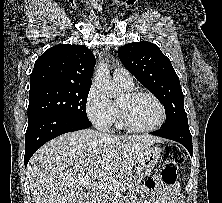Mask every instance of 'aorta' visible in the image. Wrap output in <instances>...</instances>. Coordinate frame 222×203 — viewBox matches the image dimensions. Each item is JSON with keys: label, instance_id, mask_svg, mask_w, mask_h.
I'll list each match as a JSON object with an SVG mask.
<instances>
[{"label": "aorta", "instance_id": "aorta-1", "mask_svg": "<svg viewBox=\"0 0 222 203\" xmlns=\"http://www.w3.org/2000/svg\"><path fill=\"white\" fill-rule=\"evenodd\" d=\"M95 81L99 89L107 95V97H114L119 94V87L111 80L110 71L106 63H100L95 72Z\"/></svg>", "mask_w": 222, "mask_h": 203}]
</instances>
